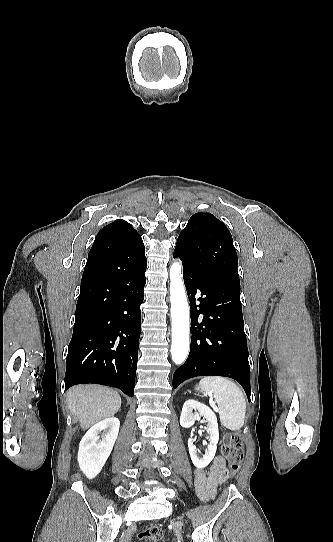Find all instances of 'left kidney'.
<instances>
[{
    "label": "left kidney",
    "instance_id": "1",
    "mask_svg": "<svg viewBox=\"0 0 333 542\" xmlns=\"http://www.w3.org/2000/svg\"><path fill=\"white\" fill-rule=\"evenodd\" d=\"M193 410H197L198 414H193ZM199 416H204L206 422H208L206 428V432L210 436L207 446L208 450L203 458H199L192 438L188 440V448L194 466L196 468H206L212 462L217 450L219 440L217 418L214 412L208 406H205V404H201V402H196V400H187V402H184L180 416V426L182 428H191V426H194L196 420H199Z\"/></svg>",
    "mask_w": 333,
    "mask_h": 542
}]
</instances>
